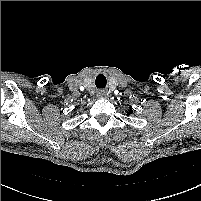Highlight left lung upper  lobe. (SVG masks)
Instances as JSON below:
<instances>
[{"mask_svg":"<svg viewBox=\"0 0 201 201\" xmlns=\"http://www.w3.org/2000/svg\"><path fill=\"white\" fill-rule=\"evenodd\" d=\"M131 113H133V111L130 109L129 112H128L127 114L129 115V114H131Z\"/></svg>","mask_w":201,"mask_h":201,"instance_id":"5c2ea615","label":"left lung upper lobe"}]
</instances>
